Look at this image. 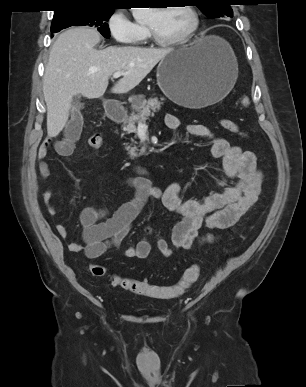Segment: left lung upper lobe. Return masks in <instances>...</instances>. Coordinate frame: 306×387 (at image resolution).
Instances as JSON below:
<instances>
[{
	"label": "left lung upper lobe",
	"mask_w": 306,
	"mask_h": 387,
	"mask_svg": "<svg viewBox=\"0 0 306 387\" xmlns=\"http://www.w3.org/2000/svg\"><path fill=\"white\" fill-rule=\"evenodd\" d=\"M193 2L209 18L233 16L230 0H193Z\"/></svg>",
	"instance_id": "left-lung-upper-lobe-1"
}]
</instances>
